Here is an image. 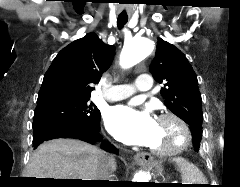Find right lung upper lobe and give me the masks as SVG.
I'll use <instances>...</instances> for the list:
<instances>
[{
	"label": "right lung upper lobe",
	"mask_w": 240,
	"mask_h": 187,
	"mask_svg": "<svg viewBox=\"0 0 240 187\" xmlns=\"http://www.w3.org/2000/svg\"><path fill=\"white\" fill-rule=\"evenodd\" d=\"M114 47L94 33L63 48L45 73L37 105L59 99L90 98L104 71L112 63Z\"/></svg>",
	"instance_id": "1"
}]
</instances>
